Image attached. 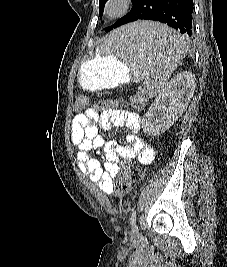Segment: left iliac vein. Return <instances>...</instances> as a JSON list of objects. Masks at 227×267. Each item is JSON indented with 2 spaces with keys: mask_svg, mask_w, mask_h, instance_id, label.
I'll return each mask as SVG.
<instances>
[{
  "mask_svg": "<svg viewBox=\"0 0 227 267\" xmlns=\"http://www.w3.org/2000/svg\"><path fill=\"white\" fill-rule=\"evenodd\" d=\"M138 234H139L138 227H137L136 223H134L132 226V229H131V235H132V237H137Z\"/></svg>",
  "mask_w": 227,
  "mask_h": 267,
  "instance_id": "1",
  "label": "left iliac vein"
}]
</instances>
